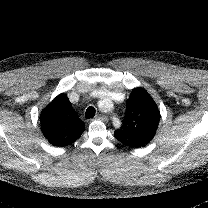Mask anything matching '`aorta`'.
<instances>
[{
  "mask_svg": "<svg viewBox=\"0 0 208 208\" xmlns=\"http://www.w3.org/2000/svg\"><path fill=\"white\" fill-rule=\"evenodd\" d=\"M105 103V104H107V105H110V100H108V99H105V98H103V100L102 101H100V103ZM104 105V104H103ZM102 107H104V106H102Z\"/></svg>",
  "mask_w": 208,
  "mask_h": 208,
  "instance_id": "obj_1",
  "label": "aorta"
}]
</instances>
